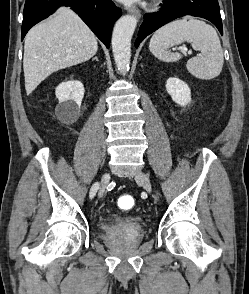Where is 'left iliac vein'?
Returning a JSON list of instances; mask_svg holds the SVG:
<instances>
[{
  "instance_id": "left-iliac-vein-1",
  "label": "left iliac vein",
  "mask_w": 249,
  "mask_h": 294,
  "mask_svg": "<svg viewBox=\"0 0 249 294\" xmlns=\"http://www.w3.org/2000/svg\"><path fill=\"white\" fill-rule=\"evenodd\" d=\"M135 179L137 182H139L143 186L146 192L151 193L152 191L151 182L147 174H145L142 171H139L136 174Z\"/></svg>"
}]
</instances>
